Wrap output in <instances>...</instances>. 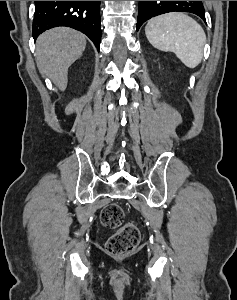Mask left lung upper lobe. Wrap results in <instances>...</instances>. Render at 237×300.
<instances>
[{"instance_id": "1", "label": "left lung upper lobe", "mask_w": 237, "mask_h": 300, "mask_svg": "<svg viewBox=\"0 0 237 300\" xmlns=\"http://www.w3.org/2000/svg\"><path fill=\"white\" fill-rule=\"evenodd\" d=\"M173 11L194 13L205 21L202 1H139L137 30L150 18Z\"/></svg>"}]
</instances>
